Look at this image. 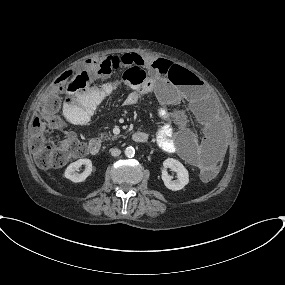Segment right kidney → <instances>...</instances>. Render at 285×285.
<instances>
[{
	"label": "right kidney",
	"instance_id": "obj_1",
	"mask_svg": "<svg viewBox=\"0 0 285 285\" xmlns=\"http://www.w3.org/2000/svg\"><path fill=\"white\" fill-rule=\"evenodd\" d=\"M84 165L86 168L82 173H78L79 168ZM92 172V161L84 158L71 163L65 170L64 176L74 183L83 182Z\"/></svg>",
	"mask_w": 285,
	"mask_h": 285
}]
</instances>
